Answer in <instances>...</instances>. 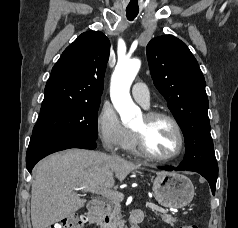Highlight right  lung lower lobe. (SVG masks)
I'll return each mask as SVG.
<instances>
[{
    "instance_id": "obj_1",
    "label": "right lung lower lobe",
    "mask_w": 238,
    "mask_h": 228,
    "mask_svg": "<svg viewBox=\"0 0 238 228\" xmlns=\"http://www.w3.org/2000/svg\"><path fill=\"white\" fill-rule=\"evenodd\" d=\"M96 142L92 138L78 135H41L32 136L26 155V166L31 172L34 165L45 156L69 149H95Z\"/></svg>"
}]
</instances>
